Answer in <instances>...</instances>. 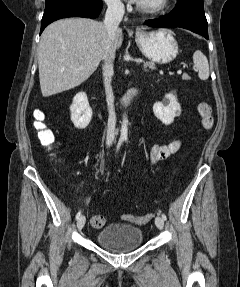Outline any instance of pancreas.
Instances as JSON below:
<instances>
[{
	"label": "pancreas",
	"mask_w": 240,
	"mask_h": 287,
	"mask_svg": "<svg viewBox=\"0 0 240 287\" xmlns=\"http://www.w3.org/2000/svg\"><path fill=\"white\" fill-rule=\"evenodd\" d=\"M144 66L145 67H149L151 69H155V65L153 62H150V61H147V62H144ZM182 79L183 80H189L190 79V76L188 74H183L182 75Z\"/></svg>",
	"instance_id": "cf45deb5"
}]
</instances>
